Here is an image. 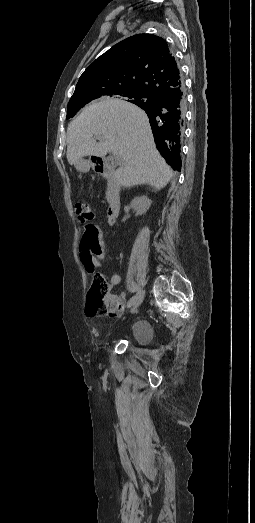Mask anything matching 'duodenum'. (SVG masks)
Returning <instances> with one entry per match:
<instances>
[{"label": "duodenum", "mask_w": 255, "mask_h": 523, "mask_svg": "<svg viewBox=\"0 0 255 523\" xmlns=\"http://www.w3.org/2000/svg\"><path fill=\"white\" fill-rule=\"evenodd\" d=\"M89 165L92 170L107 180V219L109 224L113 225L120 213L121 208V184L116 167L108 159L96 155L90 157Z\"/></svg>", "instance_id": "obj_1"}]
</instances>
